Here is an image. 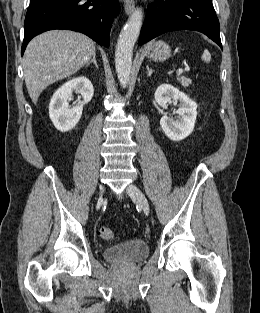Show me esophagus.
<instances>
[{
	"label": "esophagus",
	"mask_w": 260,
	"mask_h": 313,
	"mask_svg": "<svg viewBox=\"0 0 260 313\" xmlns=\"http://www.w3.org/2000/svg\"><path fill=\"white\" fill-rule=\"evenodd\" d=\"M135 8L134 0H124V9L127 14H131Z\"/></svg>",
	"instance_id": "34e87169"
}]
</instances>
